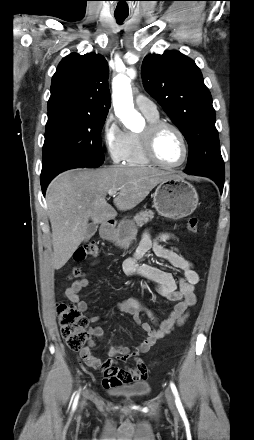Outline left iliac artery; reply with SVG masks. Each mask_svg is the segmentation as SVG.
Instances as JSON below:
<instances>
[{
  "label": "left iliac artery",
  "instance_id": "left-iliac-artery-1",
  "mask_svg": "<svg viewBox=\"0 0 254 440\" xmlns=\"http://www.w3.org/2000/svg\"><path fill=\"white\" fill-rule=\"evenodd\" d=\"M170 387H171V390H172V392H173V394L175 396V402H176V406H177L179 412L180 413L184 412V409H183L182 403L180 401V398H179V395H178V391H177V388H176L175 384L173 382H171L170 383Z\"/></svg>",
  "mask_w": 254,
  "mask_h": 440
}]
</instances>
